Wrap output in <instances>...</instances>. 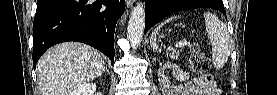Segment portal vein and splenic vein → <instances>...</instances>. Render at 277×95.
<instances>
[{
    "label": "portal vein and splenic vein",
    "instance_id": "18ae733b",
    "mask_svg": "<svg viewBox=\"0 0 277 95\" xmlns=\"http://www.w3.org/2000/svg\"><path fill=\"white\" fill-rule=\"evenodd\" d=\"M186 44H187L186 42H177V43L175 44V47H176V48H182V47H184Z\"/></svg>",
    "mask_w": 277,
    "mask_h": 95
}]
</instances>
